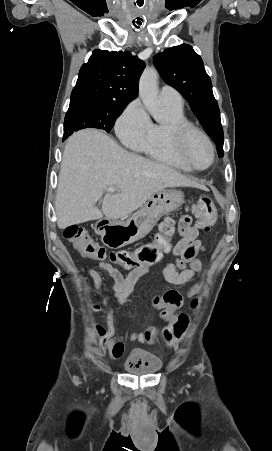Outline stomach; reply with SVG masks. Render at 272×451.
<instances>
[{"label":"stomach","mask_w":272,"mask_h":451,"mask_svg":"<svg viewBox=\"0 0 272 451\" xmlns=\"http://www.w3.org/2000/svg\"><path fill=\"white\" fill-rule=\"evenodd\" d=\"M184 204V194L180 190H159L146 200L144 206L125 222H112L104 227L101 239L107 247L118 249L145 237L158 220L175 212Z\"/></svg>","instance_id":"1"}]
</instances>
